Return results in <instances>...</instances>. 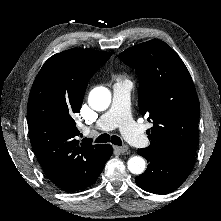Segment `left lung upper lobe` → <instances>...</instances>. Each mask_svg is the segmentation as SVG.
Wrapping results in <instances>:
<instances>
[{
    "label": "left lung upper lobe",
    "instance_id": "5c2ea615",
    "mask_svg": "<svg viewBox=\"0 0 221 221\" xmlns=\"http://www.w3.org/2000/svg\"><path fill=\"white\" fill-rule=\"evenodd\" d=\"M120 58L136 69L139 109L153 121L147 131L148 149L194 157L200 106L192 78L178 54L165 42L153 39L126 49Z\"/></svg>",
    "mask_w": 221,
    "mask_h": 221
}]
</instances>
